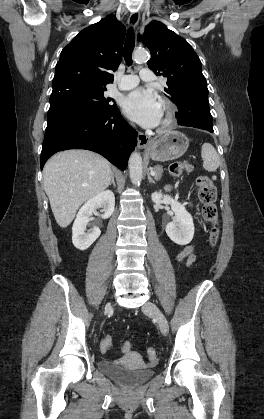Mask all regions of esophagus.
I'll list each match as a JSON object with an SVG mask.
<instances>
[{
  "mask_svg": "<svg viewBox=\"0 0 264 419\" xmlns=\"http://www.w3.org/2000/svg\"><path fill=\"white\" fill-rule=\"evenodd\" d=\"M139 19H140V13L138 11L132 12L130 14L129 18H128V25H129V27L135 28L138 25ZM148 140L149 139H148V137L145 134L139 132L138 133V137H137V141H138L137 145H138V148H140V149L145 148L146 145L148 144Z\"/></svg>",
  "mask_w": 264,
  "mask_h": 419,
  "instance_id": "1",
  "label": "esophagus"
}]
</instances>
